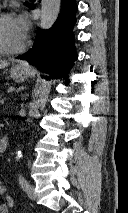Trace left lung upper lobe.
<instances>
[{"label": "left lung upper lobe", "mask_w": 128, "mask_h": 213, "mask_svg": "<svg viewBox=\"0 0 128 213\" xmlns=\"http://www.w3.org/2000/svg\"><path fill=\"white\" fill-rule=\"evenodd\" d=\"M25 5H26V6H29V5H30V3H28V2H25Z\"/></svg>", "instance_id": "5c2ea615"}]
</instances>
